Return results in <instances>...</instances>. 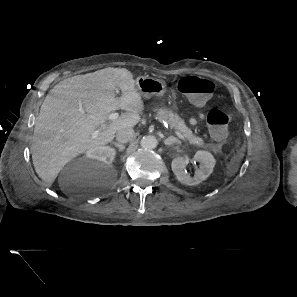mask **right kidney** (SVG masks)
<instances>
[{
	"label": "right kidney",
	"instance_id": "right-kidney-1",
	"mask_svg": "<svg viewBox=\"0 0 297 297\" xmlns=\"http://www.w3.org/2000/svg\"><path fill=\"white\" fill-rule=\"evenodd\" d=\"M116 156L115 149L109 146H98L89 149L86 152V157L97 162H102L106 165H111Z\"/></svg>",
	"mask_w": 297,
	"mask_h": 297
}]
</instances>
